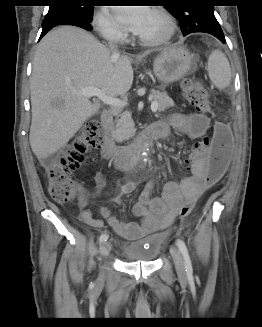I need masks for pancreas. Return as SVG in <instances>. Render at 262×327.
I'll return each mask as SVG.
<instances>
[{"instance_id": "cf45deb5", "label": "pancreas", "mask_w": 262, "mask_h": 327, "mask_svg": "<svg viewBox=\"0 0 262 327\" xmlns=\"http://www.w3.org/2000/svg\"><path fill=\"white\" fill-rule=\"evenodd\" d=\"M153 99L158 103V111H165L167 108L174 106V101L165 93L160 91H153ZM135 133L134 123L130 112H123L120 118L116 120L113 137L122 142L130 139Z\"/></svg>"}]
</instances>
